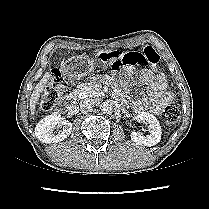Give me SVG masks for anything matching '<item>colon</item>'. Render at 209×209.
Wrapping results in <instances>:
<instances>
[{
	"label": "colon",
	"mask_w": 209,
	"mask_h": 209,
	"mask_svg": "<svg viewBox=\"0 0 209 209\" xmlns=\"http://www.w3.org/2000/svg\"><path fill=\"white\" fill-rule=\"evenodd\" d=\"M102 61L109 65L112 70L118 71L126 69L128 66L148 64L155 66L160 60L159 54L151 46L144 47L141 51L123 52L115 51L100 54ZM65 75L58 69L52 71L51 80L39 99V105L43 110L53 108L65 89ZM164 122L167 125H174L180 119V111L175 106H169L164 111Z\"/></svg>",
	"instance_id": "5ec220e1"
}]
</instances>
